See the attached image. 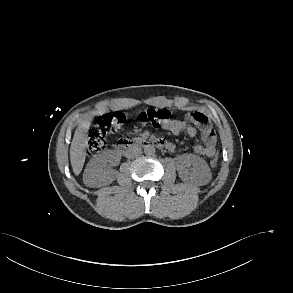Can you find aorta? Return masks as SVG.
I'll return each instance as SVG.
<instances>
[{
    "instance_id": "1",
    "label": "aorta",
    "mask_w": 293,
    "mask_h": 293,
    "mask_svg": "<svg viewBox=\"0 0 293 293\" xmlns=\"http://www.w3.org/2000/svg\"><path fill=\"white\" fill-rule=\"evenodd\" d=\"M144 153L147 156H153L155 154V147L153 145H147V146H145Z\"/></svg>"
}]
</instances>
